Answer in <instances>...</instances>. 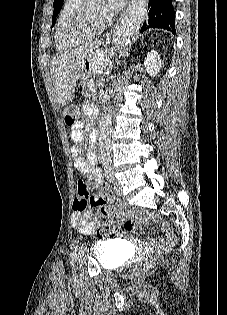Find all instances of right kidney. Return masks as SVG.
<instances>
[{
    "mask_svg": "<svg viewBox=\"0 0 227 315\" xmlns=\"http://www.w3.org/2000/svg\"><path fill=\"white\" fill-rule=\"evenodd\" d=\"M144 65L146 66V72L149 73L150 76H157L161 68V59L158 52L153 50L148 53Z\"/></svg>",
    "mask_w": 227,
    "mask_h": 315,
    "instance_id": "ca27d5eb",
    "label": "right kidney"
}]
</instances>
